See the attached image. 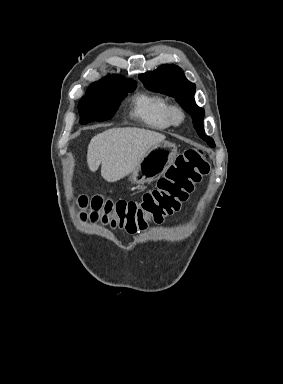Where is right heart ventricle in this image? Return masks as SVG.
Returning <instances> with one entry per match:
<instances>
[{
	"instance_id": "e07e8e85",
	"label": "right heart ventricle",
	"mask_w": 283,
	"mask_h": 384,
	"mask_svg": "<svg viewBox=\"0 0 283 384\" xmlns=\"http://www.w3.org/2000/svg\"><path fill=\"white\" fill-rule=\"evenodd\" d=\"M169 105V101L164 96L142 91L132 98L131 114L145 126L164 131L171 127L167 118Z\"/></svg>"
}]
</instances>
